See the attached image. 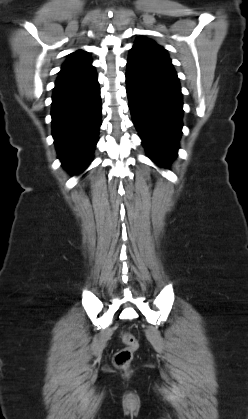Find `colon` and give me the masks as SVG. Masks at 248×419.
<instances>
[{"mask_svg":"<svg viewBox=\"0 0 248 419\" xmlns=\"http://www.w3.org/2000/svg\"><path fill=\"white\" fill-rule=\"evenodd\" d=\"M122 341L125 346L116 351L113 356L114 365L120 369L129 366L134 357V353L139 348L138 340L130 333L124 332L122 334Z\"/></svg>","mask_w":248,"mask_h":419,"instance_id":"1","label":"colon"}]
</instances>
